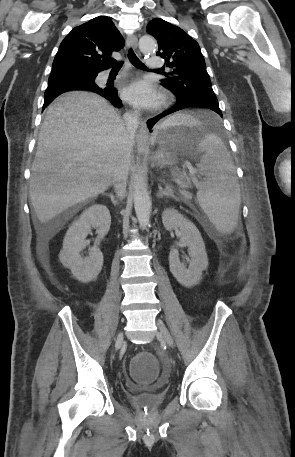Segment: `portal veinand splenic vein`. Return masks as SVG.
Here are the masks:
<instances>
[{
  "mask_svg": "<svg viewBox=\"0 0 295 457\" xmlns=\"http://www.w3.org/2000/svg\"><path fill=\"white\" fill-rule=\"evenodd\" d=\"M188 166H189V165H188ZM195 173H196V171H195L192 167H189V174H190V176L192 177V180H193L196 184H198V183H197V178L195 177Z\"/></svg>",
  "mask_w": 295,
  "mask_h": 457,
  "instance_id": "18ae733b",
  "label": "portal vein and splenic vein"
}]
</instances>
